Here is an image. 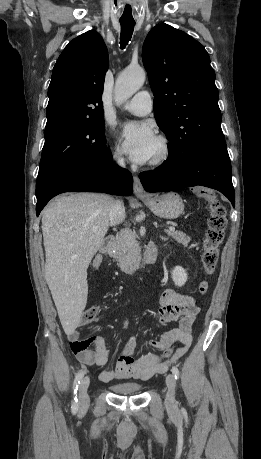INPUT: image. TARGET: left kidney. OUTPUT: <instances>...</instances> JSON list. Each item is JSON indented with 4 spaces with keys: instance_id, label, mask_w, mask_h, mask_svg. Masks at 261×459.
<instances>
[{
    "instance_id": "1",
    "label": "left kidney",
    "mask_w": 261,
    "mask_h": 459,
    "mask_svg": "<svg viewBox=\"0 0 261 459\" xmlns=\"http://www.w3.org/2000/svg\"><path fill=\"white\" fill-rule=\"evenodd\" d=\"M187 272L184 268L180 266L174 267L172 271V279L175 283L176 286H183L185 282L187 281Z\"/></svg>"
}]
</instances>
